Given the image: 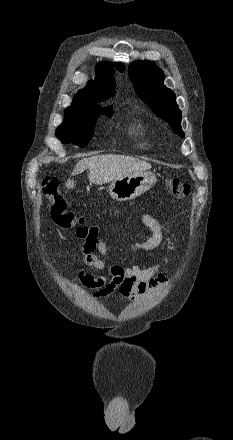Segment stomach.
Listing matches in <instances>:
<instances>
[{
  "instance_id": "obj_1",
  "label": "stomach",
  "mask_w": 233,
  "mask_h": 440,
  "mask_svg": "<svg viewBox=\"0 0 233 440\" xmlns=\"http://www.w3.org/2000/svg\"><path fill=\"white\" fill-rule=\"evenodd\" d=\"M156 181L154 173H133L113 181L109 186V195L116 201L132 200L149 190Z\"/></svg>"
}]
</instances>
